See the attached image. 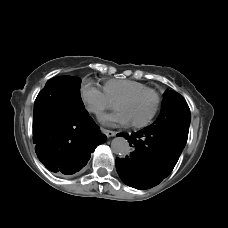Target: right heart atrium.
Wrapping results in <instances>:
<instances>
[{
	"mask_svg": "<svg viewBox=\"0 0 228 228\" xmlns=\"http://www.w3.org/2000/svg\"><path fill=\"white\" fill-rule=\"evenodd\" d=\"M82 97L89 111L96 115L114 107V104L108 99L105 93L93 86H85L82 91Z\"/></svg>",
	"mask_w": 228,
	"mask_h": 228,
	"instance_id": "d8ad5b80",
	"label": "right heart atrium"
}]
</instances>
